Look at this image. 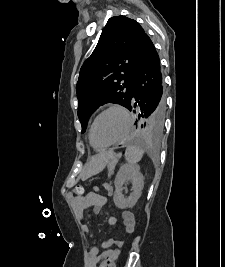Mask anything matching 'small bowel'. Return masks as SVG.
I'll use <instances>...</instances> for the list:
<instances>
[{"label": "small bowel", "mask_w": 225, "mask_h": 267, "mask_svg": "<svg viewBox=\"0 0 225 267\" xmlns=\"http://www.w3.org/2000/svg\"><path fill=\"white\" fill-rule=\"evenodd\" d=\"M105 192L108 196L113 194V187L109 184L104 186ZM105 197L99 193V190L96 188L93 191L89 192L86 197L82 200L73 199L72 204L76 213L83 217L87 209L91 208L95 213L99 212L104 204ZM88 218L91 215H86ZM122 223L121 226L124 231L128 234L132 233L135 228V219L133 214L128 210L121 211ZM109 223L111 225H116L119 223V219L116 216H111L109 218ZM85 232H90L88 225H84ZM112 245H115L112 248ZM123 242L121 240H114L110 238L104 241L100 246L92 247L87 255L88 267H106V263L109 260H115L120 254V248L122 247Z\"/></svg>", "instance_id": "1"}]
</instances>
